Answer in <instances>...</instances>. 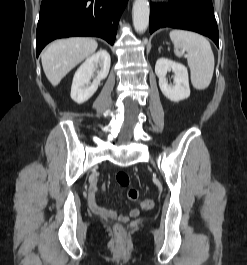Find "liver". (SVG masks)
I'll list each match as a JSON object with an SVG mask.
<instances>
[{
	"label": "liver",
	"instance_id": "6515ba94",
	"mask_svg": "<svg viewBox=\"0 0 247 265\" xmlns=\"http://www.w3.org/2000/svg\"><path fill=\"white\" fill-rule=\"evenodd\" d=\"M91 38L74 37L52 42L41 55L44 73L57 86L76 65L90 57L97 49Z\"/></svg>",
	"mask_w": 247,
	"mask_h": 265
}]
</instances>
